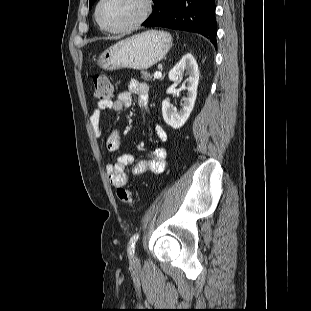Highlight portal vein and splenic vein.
<instances>
[{
	"mask_svg": "<svg viewBox=\"0 0 311 311\" xmlns=\"http://www.w3.org/2000/svg\"><path fill=\"white\" fill-rule=\"evenodd\" d=\"M153 76L155 79H160L162 77V73L160 71H156Z\"/></svg>",
	"mask_w": 311,
	"mask_h": 311,
	"instance_id": "18ae733b",
	"label": "portal vein and splenic vein"
}]
</instances>
